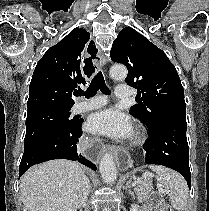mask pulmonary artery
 <instances>
[{
    "instance_id": "1",
    "label": "pulmonary artery",
    "mask_w": 209,
    "mask_h": 211,
    "mask_svg": "<svg viewBox=\"0 0 209 211\" xmlns=\"http://www.w3.org/2000/svg\"><path fill=\"white\" fill-rule=\"evenodd\" d=\"M115 96L118 99H128L132 96V89L128 85H118L115 89ZM107 97L104 95H97L88 100H82L74 106L76 113H81L93 109H98L106 105Z\"/></svg>"
}]
</instances>
